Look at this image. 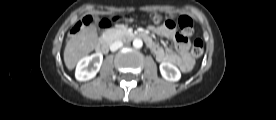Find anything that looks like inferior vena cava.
<instances>
[{
  "label": "inferior vena cava",
  "instance_id": "602c4592",
  "mask_svg": "<svg viewBox=\"0 0 276 120\" xmlns=\"http://www.w3.org/2000/svg\"><path fill=\"white\" fill-rule=\"evenodd\" d=\"M122 46H123L122 41H116L110 45V50L112 52H114V51L118 50L119 48H121Z\"/></svg>",
  "mask_w": 276,
  "mask_h": 120
}]
</instances>
